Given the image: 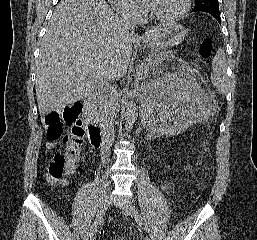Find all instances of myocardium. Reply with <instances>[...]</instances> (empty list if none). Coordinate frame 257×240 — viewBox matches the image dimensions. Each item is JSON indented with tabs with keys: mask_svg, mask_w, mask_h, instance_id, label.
I'll list each match as a JSON object with an SVG mask.
<instances>
[{
	"mask_svg": "<svg viewBox=\"0 0 257 240\" xmlns=\"http://www.w3.org/2000/svg\"><path fill=\"white\" fill-rule=\"evenodd\" d=\"M145 6L148 12L149 17L152 20L158 21V22H170L175 21L179 18H181L184 14L188 12L191 6V0H183L181 7L175 11L174 13H171L169 15H158L155 14L151 8L149 7L147 1L145 2Z\"/></svg>",
	"mask_w": 257,
	"mask_h": 240,
	"instance_id": "obj_1",
	"label": "myocardium"
}]
</instances>
